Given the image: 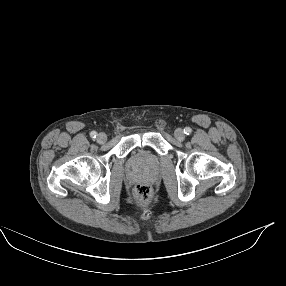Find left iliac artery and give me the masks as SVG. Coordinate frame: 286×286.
I'll return each mask as SVG.
<instances>
[{"instance_id":"44dca946","label":"left iliac artery","mask_w":286,"mask_h":286,"mask_svg":"<svg viewBox=\"0 0 286 286\" xmlns=\"http://www.w3.org/2000/svg\"><path fill=\"white\" fill-rule=\"evenodd\" d=\"M191 132H192V129H191L190 127H186V128L184 129V133H185L186 135H189Z\"/></svg>"}]
</instances>
